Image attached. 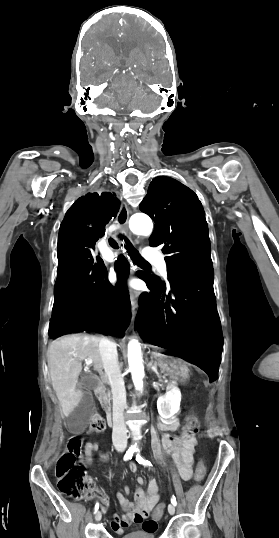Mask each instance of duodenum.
Returning <instances> with one entry per match:
<instances>
[{"mask_svg": "<svg viewBox=\"0 0 279 538\" xmlns=\"http://www.w3.org/2000/svg\"><path fill=\"white\" fill-rule=\"evenodd\" d=\"M106 383L101 381L98 386V391L103 392L105 390ZM107 405H110V402H107ZM106 428H111L112 418L114 417L113 409L108 408L106 410Z\"/></svg>", "mask_w": 279, "mask_h": 538, "instance_id": "1", "label": "duodenum"}]
</instances>
